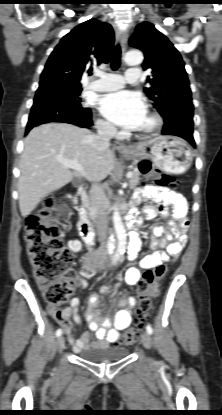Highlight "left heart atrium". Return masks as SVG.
Instances as JSON below:
<instances>
[{"instance_id":"obj_1","label":"left heart atrium","mask_w":222,"mask_h":415,"mask_svg":"<svg viewBox=\"0 0 222 415\" xmlns=\"http://www.w3.org/2000/svg\"><path fill=\"white\" fill-rule=\"evenodd\" d=\"M100 111L112 123L136 129L146 114V107L138 92L122 90L103 97Z\"/></svg>"}]
</instances>
